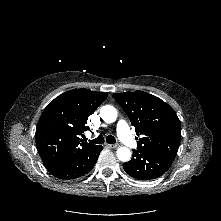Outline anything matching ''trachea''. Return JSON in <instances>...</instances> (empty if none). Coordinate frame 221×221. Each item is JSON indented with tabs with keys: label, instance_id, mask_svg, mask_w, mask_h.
Wrapping results in <instances>:
<instances>
[{
	"label": "trachea",
	"instance_id": "obj_1",
	"mask_svg": "<svg viewBox=\"0 0 221 221\" xmlns=\"http://www.w3.org/2000/svg\"><path fill=\"white\" fill-rule=\"evenodd\" d=\"M90 142L95 143V144H102L105 142L103 135H99L97 138L90 140ZM106 142L109 144H114L116 142L115 137L112 135H108L106 137Z\"/></svg>",
	"mask_w": 221,
	"mask_h": 221
}]
</instances>
